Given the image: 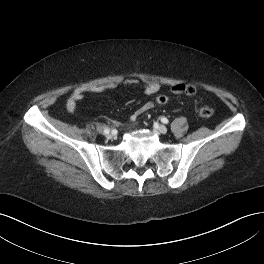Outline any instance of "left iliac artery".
<instances>
[{
    "instance_id": "obj_1",
    "label": "left iliac artery",
    "mask_w": 264,
    "mask_h": 264,
    "mask_svg": "<svg viewBox=\"0 0 264 264\" xmlns=\"http://www.w3.org/2000/svg\"><path fill=\"white\" fill-rule=\"evenodd\" d=\"M161 121H162L163 123H165V124H167V123L169 122L168 119L165 118V117H162V118H161Z\"/></svg>"
}]
</instances>
